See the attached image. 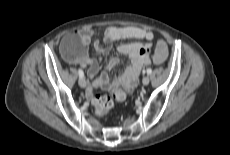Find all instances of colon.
Returning a JSON list of instances; mask_svg holds the SVG:
<instances>
[{
    "instance_id": "1",
    "label": "colon",
    "mask_w": 230,
    "mask_h": 155,
    "mask_svg": "<svg viewBox=\"0 0 230 155\" xmlns=\"http://www.w3.org/2000/svg\"><path fill=\"white\" fill-rule=\"evenodd\" d=\"M77 53L81 52V41L75 39L71 43ZM167 58V45L164 41H158L154 46L153 60L157 64L163 63ZM119 101V94L112 95L97 94L94 97L95 113L98 116H104L112 109L114 102Z\"/></svg>"
}]
</instances>
